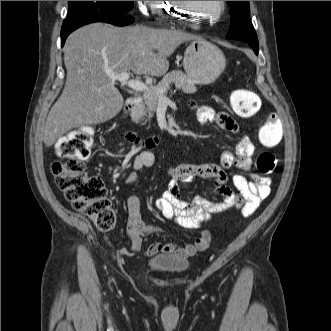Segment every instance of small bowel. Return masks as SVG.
I'll use <instances>...</instances> for the list:
<instances>
[{"mask_svg":"<svg viewBox=\"0 0 331 331\" xmlns=\"http://www.w3.org/2000/svg\"><path fill=\"white\" fill-rule=\"evenodd\" d=\"M197 120L202 124H216L221 129L238 133L239 126L226 112H215L208 106H199L195 109ZM255 146L247 136H242L236 144L235 151H223L219 164H181L171 167L168 171L170 181L162 196L155 201L156 209L167 219H174L181 227L196 229L202 223L211 219L214 214L221 213L230 208L240 209L244 217L252 215L259 207L261 201L270 194V178L256 173L248 177L234 175L232 178L234 189L226 184V170L236 167L249 171L252 168V157ZM154 156L150 151H142L133 160L134 171L126 177L129 184L138 181V171L150 167ZM197 177L212 179L214 186L211 194L222 197L221 202H212L204 196L197 195L190 200L182 199L180 185L191 183ZM128 218L126 233L131 245L118 252L122 255H133L140 251L143 238L158 234L161 230L152 225H146L141 218L140 199L136 194L127 198ZM203 238L210 240V234L204 232ZM198 248L193 244L178 246L174 243L155 242L151 244L146 254L153 256L158 253H173L179 257L188 258L196 253Z\"/></svg>","mask_w":331,"mask_h":331,"instance_id":"small-bowel-1","label":"small bowel"}]
</instances>
